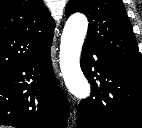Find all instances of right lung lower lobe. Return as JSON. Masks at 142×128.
Listing matches in <instances>:
<instances>
[{
  "mask_svg": "<svg viewBox=\"0 0 142 128\" xmlns=\"http://www.w3.org/2000/svg\"><path fill=\"white\" fill-rule=\"evenodd\" d=\"M68 113L53 74L50 47L0 75V125L65 128Z\"/></svg>",
  "mask_w": 142,
  "mask_h": 128,
  "instance_id": "right-lung-lower-lobe-1",
  "label": "right lung lower lobe"
}]
</instances>
